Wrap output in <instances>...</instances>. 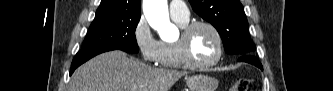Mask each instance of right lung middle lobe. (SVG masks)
I'll use <instances>...</instances> for the list:
<instances>
[{"label":"right lung middle lobe","instance_id":"right-lung-middle-lobe-1","mask_svg":"<svg viewBox=\"0 0 333 91\" xmlns=\"http://www.w3.org/2000/svg\"><path fill=\"white\" fill-rule=\"evenodd\" d=\"M141 15L97 17L90 25L81 51L101 49L139 51L135 30Z\"/></svg>","mask_w":333,"mask_h":91}]
</instances>
